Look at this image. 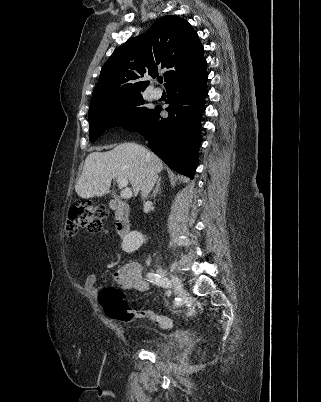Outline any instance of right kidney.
Instances as JSON below:
<instances>
[{
	"instance_id": "1",
	"label": "right kidney",
	"mask_w": 321,
	"mask_h": 402,
	"mask_svg": "<svg viewBox=\"0 0 321 402\" xmlns=\"http://www.w3.org/2000/svg\"><path fill=\"white\" fill-rule=\"evenodd\" d=\"M144 237L138 231H132L126 235L122 241L121 247L127 253H132L143 244Z\"/></svg>"
}]
</instances>
